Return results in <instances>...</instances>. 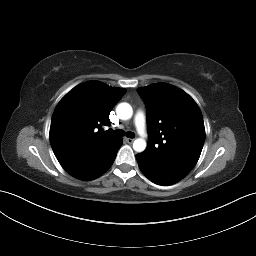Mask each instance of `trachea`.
<instances>
[{"label": "trachea", "instance_id": "3493384b", "mask_svg": "<svg viewBox=\"0 0 256 256\" xmlns=\"http://www.w3.org/2000/svg\"><path fill=\"white\" fill-rule=\"evenodd\" d=\"M115 134L116 135H119V136H124V135H126V137H128V138H134V136H135V134L133 133V132H127V133H125L122 129H117L116 131H115Z\"/></svg>", "mask_w": 256, "mask_h": 256}]
</instances>
